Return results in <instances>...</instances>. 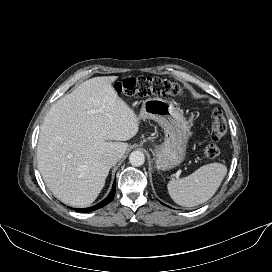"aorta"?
I'll use <instances>...</instances> for the list:
<instances>
[{"instance_id": "aorta-1", "label": "aorta", "mask_w": 272, "mask_h": 272, "mask_svg": "<svg viewBox=\"0 0 272 272\" xmlns=\"http://www.w3.org/2000/svg\"><path fill=\"white\" fill-rule=\"evenodd\" d=\"M129 161L133 166H141L145 162V156L141 151H133L129 156Z\"/></svg>"}]
</instances>
